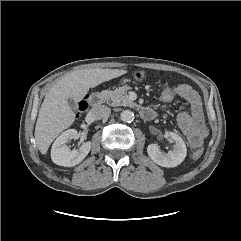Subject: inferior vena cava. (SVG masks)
I'll use <instances>...</instances> for the list:
<instances>
[{"instance_id": "1", "label": "inferior vena cava", "mask_w": 241, "mask_h": 241, "mask_svg": "<svg viewBox=\"0 0 241 241\" xmlns=\"http://www.w3.org/2000/svg\"><path fill=\"white\" fill-rule=\"evenodd\" d=\"M92 114L96 119H107L110 116L111 109L105 105L92 109Z\"/></svg>"}]
</instances>
